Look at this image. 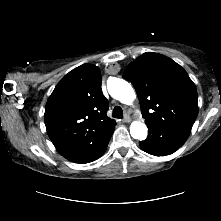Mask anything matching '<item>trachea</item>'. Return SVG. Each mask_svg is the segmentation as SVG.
I'll return each instance as SVG.
<instances>
[{
	"instance_id": "3493384b",
	"label": "trachea",
	"mask_w": 221,
	"mask_h": 221,
	"mask_svg": "<svg viewBox=\"0 0 221 221\" xmlns=\"http://www.w3.org/2000/svg\"><path fill=\"white\" fill-rule=\"evenodd\" d=\"M112 116L114 118H118V119H121L123 118V110L120 106H116L114 109H113V114Z\"/></svg>"
}]
</instances>
